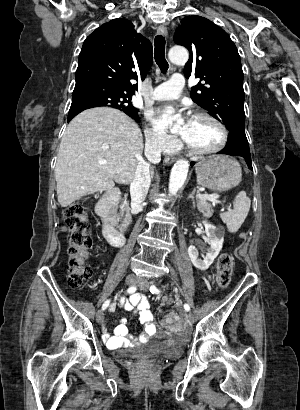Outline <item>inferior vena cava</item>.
<instances>
[{"instance_id":"obj_1","label":"inferior vena cava","mask_w":300,"mask_h":410,"mask_svg":"<svg viewBox=\"0 0 300 410\" xmlns=\"http://www.w3.org/2000/svg\"><path fill=\"white\" fill-rule=\"evenodd\" d=\"M145 155L148 160L154 164L160 162L161 147L159 138L146 140ZM150 183V164L141 159L136 167L134 179L130 185L131 207L133 210L141 211L143 209V202L147 196Z\"/></svg>"}]
</instances>
